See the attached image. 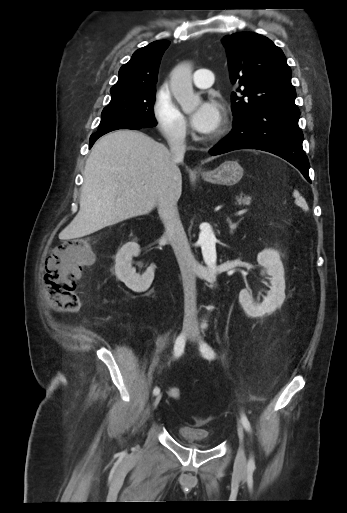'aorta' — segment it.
<instances>
[{
  "label": "aorta",
  "instance_id": "762f6f07",
  "mask_svg": "<svg viewBox=\"0 0 347 513\" xmlns=\"http://www.w3.org/2000/svg\"><path fill=\"white\" fill-rule=\"evenodd\" d=\"M170 87L175 99L185 113L193 111L201 102L192 86V65L183 62L177 65L171 72ZM203 259L211 275L216 270V237L210 227L203 228L199 236Z\"/></svg>",
  "mask_w": 347,
  "mask_h": 513
}]
</instances>
